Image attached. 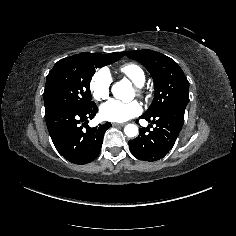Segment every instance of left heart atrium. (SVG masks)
I'll return each instance as SVG.
<instances>
[{"mask_svg": "<svg viewBox=\"0 0 236 236\" xmlns=\"http://www.w3.org/2000/svg\"><path fill=\"white\" fill-rule=\"evenodd\" d=\"M141 110V105L136 101L123 103L111 100L101 107L100 116L106 121L125 122L140 114Z\"/></svg>", "mask_w": 236, "mask_h": 236, "instance_id": "left-heart-atrium-1", "label": "left heart atrium"}]
</instances>
